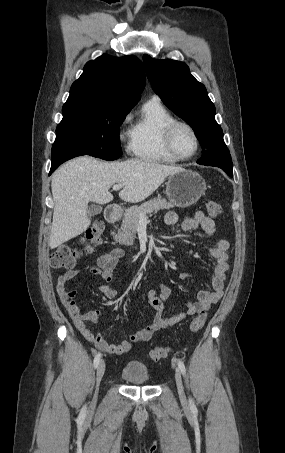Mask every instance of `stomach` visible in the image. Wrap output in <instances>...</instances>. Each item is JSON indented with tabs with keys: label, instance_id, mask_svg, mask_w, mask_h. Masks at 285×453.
Wrapping results in <instances>:
<instances>
[{
	"label": "stomach",
	"instance_id": "0dacf381",
	"mask_svg": "<svg viewBox=\"0 0 285 453\" xmlns=\"http://www.w3.org/2000/svg\"><path fill=\"white\" fill-rule=\"evenodd\" d=\"M205 191V180L192 170L181 169L170 175L166 183V196L172 204L181 208L196 203Z\"/></svg>",
	"mask_w": 285,
	"mask_h": 453
}]
</instances>
